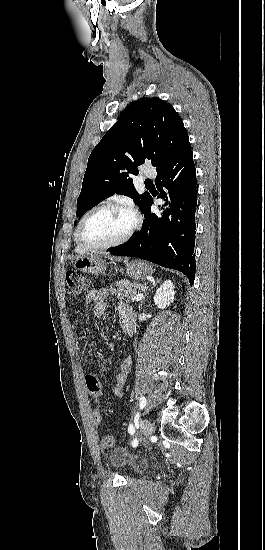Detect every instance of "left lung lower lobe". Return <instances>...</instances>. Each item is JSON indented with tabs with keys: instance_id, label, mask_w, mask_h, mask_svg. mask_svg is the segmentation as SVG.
Instances as JSON below:
<instances>
[{
	"instance_id": "1",
	"label": "left lung lower lobe",
	"mask_w": 265,
	"mask_h": 550,
	"mask_svg": "<svg viewBox=\"0 0 265 550\" xmlns=\"http://www.w3.org/2000/svg\"><path fill=\"white\" fill-rule=\"evenodd\" d=\"M155 184L161 191L160 197H165L163 187L169 191V208L161 218L152 214L151 198L144 212L142 230L130 242L109 251L111 255L139 257L179 270L192 285L196 270L194 244L198 184L189 141L157 171Z\"/></svg>"
}]
</instances>
